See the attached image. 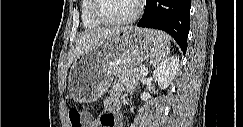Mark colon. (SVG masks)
Wrapping results in <instances>:
<instances>
[{"mask_svg":"<svg viewBox=\"0 0 243 127\" xmlns=\"http://www.w3.org/2000/svg\"><path fill=\"white\" fill-rule=\"evenodd\" d=\"M69 120L72 127H84L86 123V117L78 107H71L68 111Z\"/></svg>","mask_w":243,"mask_h":127,"instance_id":"colon-1","label":"colon"}]
</instances>
